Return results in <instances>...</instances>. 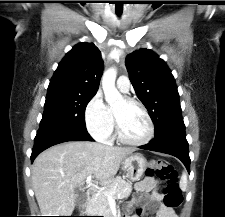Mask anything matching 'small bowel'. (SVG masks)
<instances>
[{"instance_id":"obj_1","label":"small bowel","mask_w":225,"mask_h":217,"mask_svg":"<svg viewBox=\"0 0 225 217\" xmlns=\"http://www.w3.org/2000/svg\"><path fill=\"white\" fill-rule=\"evenodd\" d=\"M158 182L152 176H146L135 184V190L142 193L127 203L126 209L136 208L139 217L141 214H151L157 210L156 217H178L173 208L167 207L162 202L163 197L157 191ZM150 193V194H148ZM130 217V216H124Z\"/></svg>"}]
</instances>
